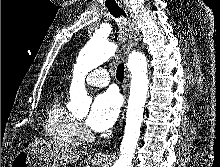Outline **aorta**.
I'll return each instance as SVG.
<instances>
[{"label":"aorta","instance_id":"762f6f07","mask_svg":"<svg viewBox=\"0 0 220 167\" xmlns=\"http://www.w3.org/2000/svg\"><path fill=\"white\" fill-rule=\"evenodd\" d=\"M117 46L97 36L80 51L74 66L73 79L70 86L69 110L86 114L91 99L85 88V76L91 70L103 64L116 52ZM147 59L140 52L129 54L127 67L131 72V87L128 100L124 136L120 148L119 159L113 167H132V159L140 137L146 103L149 79L147 74Z\"/></svg>","mask_w":220,"mask_h":167}]
</instances>
